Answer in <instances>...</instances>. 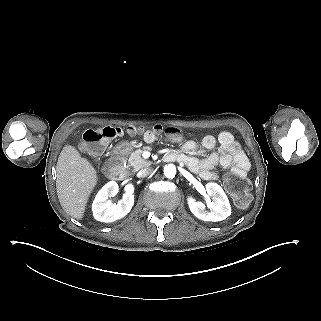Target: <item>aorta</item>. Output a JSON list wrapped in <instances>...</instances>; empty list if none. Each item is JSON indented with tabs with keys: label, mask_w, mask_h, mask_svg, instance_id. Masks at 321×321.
Returning <instances> with one entry per match:
<instances>
[{
	"label": "aorta",
	"mask_w": 321,
	"mask_h": 321,
	"mask_svg": "<svg viewBox=\"0 0 321 321\" xmlns=\"http://www.w3.org/2000/svg\"><path fill=\"white\" fill-rule=\"evenodd\" d=\"M176 174V167L173 164H168L164 167V175L169 178L172 179L175 177Z\"/></svg>",
	"instance_id": "1"
}]
</instances>
